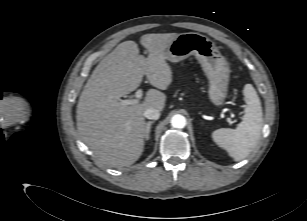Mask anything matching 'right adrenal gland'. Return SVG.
I'll return each instance as SVG.
<instances>
[{
    "label": "right adrenal gland",
    "instance_id": "1",
    "mask_svg": "<svg viewBox=\"0 0 307 221\" xmlns=\"http://www.w3.org/2000/svg\"><path fill=\"white\" fill-rule=\"evenodd\" d=\"M154 123V121H149L146 123L144 138L145 140H149L150 138V132H151V125Z\"/></svg>",
    "mask_w": 307,
    "mask_h": 221
}]
</instances>
